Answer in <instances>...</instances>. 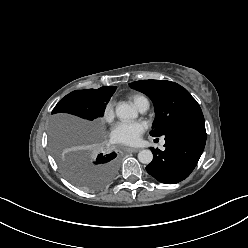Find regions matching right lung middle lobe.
<instances>
[{
    "label": "right lung middle lobe",
    "instance_id": "dd1d6c3e",
    "mask_svg": "<svg viewBox=\"0 0 248 248\" xmlns=\"http://www.w3.org/2000/svg\"><path fill=\"white\" fill-rule=\"evenodd\" d=\"M116 88L76 90L63 99L52 113H69L86 120L103 117L107 103ZM54 157L65 177L85 191H97L107 186L115 177L118 168L117 154H99L92 161L81 152L68 151L64 145L52 141Z\"/></svg>",
    "mask_w": 248,
    "mask_h": 248
}]
</instances>
